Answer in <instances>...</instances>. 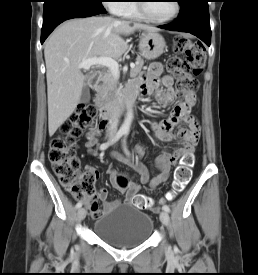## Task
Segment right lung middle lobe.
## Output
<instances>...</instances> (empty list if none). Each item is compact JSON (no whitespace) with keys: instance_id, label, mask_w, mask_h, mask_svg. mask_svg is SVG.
<instances>
[{"instance_id":"dd1d6c3e","label":"right lung middle lobe","mask_w":258,"mask_h":275,"mask_svg":"<svg viewBox=\"0 0 258 275\" xmlns=\"http://www.w3.org/2000/svg\"><path fill=\"white\" fill-rule=\"evenodd\" d=\"M93 1H95V2H102L103 0H93Z\"/></svg>"}]
</instances>
